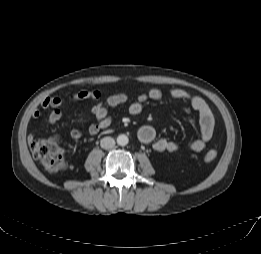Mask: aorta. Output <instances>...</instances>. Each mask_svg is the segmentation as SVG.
I'll return each instance as SVG.
<instances>
[{
  "instance_id": "1",
  "label": "aorta",
  "mask_w": 261,
  "mask_h": 254,
  "mask_svg": "<svg viewBox=\"0 0 261 254\" xmlns=\"http://www.w3.org/2000/svg\"><path fill=\"white\" fill-rule=\"evenodd\" d=\"M129 142V139L127 137V135L125 134H120L118 137H117V144L120 145V146H126Z\"/></svg>"
}]
</instances>
